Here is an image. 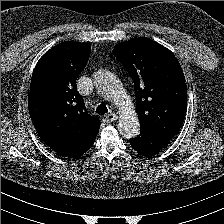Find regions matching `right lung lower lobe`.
Returning a JSON list of instances; mask_svg holds the SVG:
<instances>
[{"label":"right lung lower lobe","instance_id":"1","mask_svg":"<svg viewBox=\"0 0 224 224\" xmlns=\"http://www.w3.org/2000/svg\"><path fill=\"white\" fill-rule=\"evenodd\" d=\"M94 142H92V144L89 146V148L87 150H89L92 146H93ZM86 150V151H87ZM86 151L81 152L78 156L82 155L83 153H85Z\"/></svg>","mask_w":224,"mask_h":224}]
</instances>
